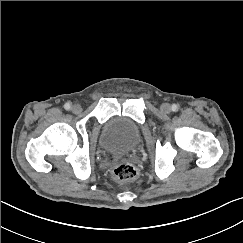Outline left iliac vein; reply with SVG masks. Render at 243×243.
<instances>
[{"label":"left iliac vein","instance_id":"obj_1","mask_svg":"<svg viewBox=\"0 0 243 243\" xmlns=\"http://www.w3.org/2000/svg\"><path fill=\"white\" fill-rule=\"evenodd\" d=\"M160 110L163 112V113H170L171 111V105L168 104V103H163L160 107Z\"/></svg>","mask_w":243,"mask_h":243}]
</instances>
